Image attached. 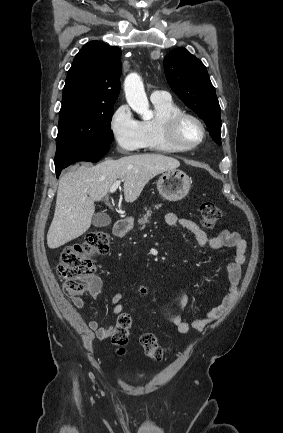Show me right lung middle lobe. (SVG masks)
<instances>
[{"instance_id": "right-lung-middle-lobe-1", "label": "right lung middle lobe", "mask_w": 283, "mask_h": 433, "mask_svg": "<svg viewBox=\"0 0 283 433\" xmlns=\"http://www.w3.org/2000/svg\"><path fill=\"white\" fill-rule=\"evenodd\" d=\"M114 103L79 104L60 110L57 147L77 145L95 149L109 147Z\"/></svg>"}]
</instances>
